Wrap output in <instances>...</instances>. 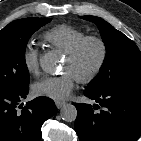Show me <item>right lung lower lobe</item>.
<instances>
[{"instance_id":"1","label":"right lung lower lobe","mask_w":141,"mask_h":141,"mask_svg":"<svg viewBox=\"0 0 141 141\" xmlns=\"http://www.w3.org/2000/svg\"><path fill=\"white\" fill-rule=\"evenodd\" d=\"M28 92V86L18 91L0 92V141L41 140V126L57 108L52 99L44 96L27 102L22 108L19 102ZM18 108H22L21 111Z\"/></svg>"}]
</instances>
